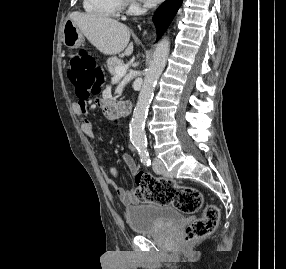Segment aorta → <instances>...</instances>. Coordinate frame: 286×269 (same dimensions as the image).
<instances>
[{
	"label": "aorta",
	"mask_w": 286,
	"mask_h": 269,
	"mask_svg": "<svg viewBox=\"0 0 286 269\" xmlns=\"http://www.w3.org/2000/svg\"><path fill=\"white\" fill-rule=\"evenodd\" d=\"M170 41L162 39L155 47L153 58L145 73L144 83L140 91L133 117L130 122V139L140 156H147V140L144 131L145 120L155 85L161 75L169 55Z\"/></svg>",
	"instance_id": "obj_1"
}]
</instances>
